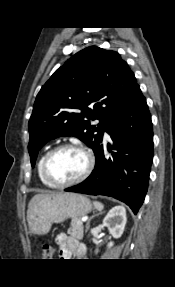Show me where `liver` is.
Returning <instances> with one entry per match:
<instances>
[{
    "label": "liver",
    "mask_w": 175,
    "mask_h": 287,
    "mask_svg": "<svg viewBox=\"0 0 175 287\" xmlns=\"http://www.w3.org/2000/svg\"><path fill=\"white\" fill-rule=\"evenodd\" d=\"M57 193H49V194H36L32 197V199L29 202L28 205V211L34 206L36 203H38L40 200H42L45 197L56 195Z\"/></svg>",
    "instance_id": "1"
}]
</instances>
